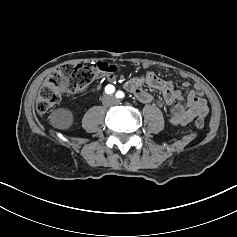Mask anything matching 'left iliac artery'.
<instances>
[{"label": "left iliac artery", "mask_w": 237, "mask_h": 237, "mask_svg": "<svg viewBox=\"0 0 237 237\" xmlns=\"http://www.w3.org/2000/svg\"><path fill=\"white\" fill-rule=\"evenodd\" d=\"M116 97H117V98H123V97H124V93H123L122 91H118V92L116 93Z\"/></svg>", "instance_id": "44dca946"}]
</instances>
